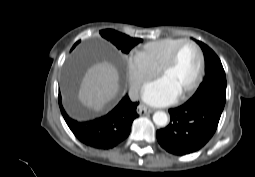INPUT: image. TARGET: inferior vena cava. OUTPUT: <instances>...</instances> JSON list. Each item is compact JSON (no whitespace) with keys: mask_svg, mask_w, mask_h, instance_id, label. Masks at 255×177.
Here are the masks:
<instances>
[{"mask_svg":"<svg viewBox=\"0 0 255 177\" xmlns=\"http://www.w3.org/2000/svg\"><path fill=\"white\" fill-rule=\"evenodd\" d=\"M138 93H139V87L138 86L131 87L130 90H129V95H130V98L132 100H137L138 99Z\"/></svg>","mask_w":255,"mask_h":177,"instance_id":"1","label":"inferior vena cava"}]
</instances>
